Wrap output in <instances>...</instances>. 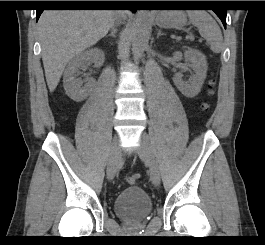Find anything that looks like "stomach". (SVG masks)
Listing matches in <instances>:
<instances>
[{"label": "stomach", "instance_id": "stomach-1", "mask_svg": "<svg viewBox=\"0 0 265 245\" xmlns=\"http://www.w3.org/2000/svg\"><path fill=\"white\" fill-rule=\"evenodd\" d=\"M186 15L183 11H162L156 16L158 26L162 28L180 29L186 24Z\"/></svg>", "mask_w": 265, "mask_h": 245}]
</instances>
